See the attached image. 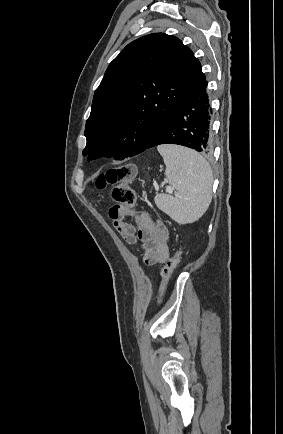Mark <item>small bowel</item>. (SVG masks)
<instances>
[{
	"instance_id": "c3829d8e",
	"label": "small bowel",
	"mask_w": 283,
	"mask_h": 434,
	"mask_svg": "<svg viewBox=\"0 0 283 434\" xmlns=\"http://www.w3.org/2000/svg\"><path fill=\"white\" fill-rule=\"evenodd\" d=\"M130 211L119 205L109 210V217L118 233L129 244H138L143 252V261L151 266L163 264L169 258V233L162 221H154L148 212L142 211L136 225L126 222Z\"/></svg>"
}]
</instances>
